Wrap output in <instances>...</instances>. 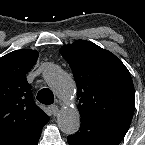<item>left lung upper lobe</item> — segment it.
Here are the masks:
<instances>
[{
    "instance_id": "5c2ea615",
    "label": "left lung upper lobe",
    "mask_w": 145,
    "mask_h": 145,
    "mask_svg": "<svg viewBox=\"0 0 145 145\" xmlns=\"http://www.w3.org/2000/svg\"><path fill=\"white\" fill-rule=\"evenodd\" d=\"M77 85L81 119H117L131 122L135 93L126 66L111 52L78 40L60 50Z\"/></svg>"
}]
</instances>
